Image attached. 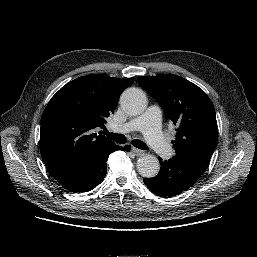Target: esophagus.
<instances>
[{
    "label": "esophagus",
    "mask_w": 257,
    "mask_h": 257,
    "mask_svg": "<svg viewBox=\"0 0 257 257\" xmlns=\"http://www.w3.org/2000/svg\"><path fill=\"white\" fill-rule=\"evenodd\" d=\"M132 152L135 153V155L140 156L144 154V151L141 149H138L136 147H132Z\"/></svg>",
    "instance_id": "34e87169"
}]
</instances>
